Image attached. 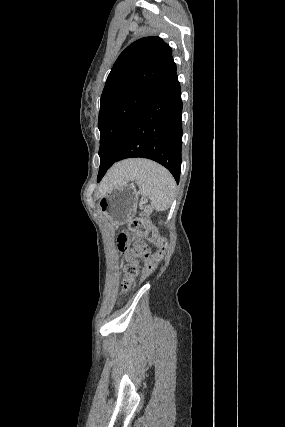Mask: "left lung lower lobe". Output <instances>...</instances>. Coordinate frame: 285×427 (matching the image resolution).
Masks as SVG:
<instances>
[{
    "label": "left lung lower lobe",
    "instance_id": "0a47b994",
    "mask_svg": "<svg viewBox=\"0 0 285 427\" xmlns=\"http://www.w3.org/2000/svg\"><path fill=\"white\" fill-rule=\"evenodd\" d=\"M182 100L176 67L142 106L127 127L114 162L148 158L180 178Z\"/></svg>",
    "mask_w": 285,
    "mask_h": 427
}]
</instances>
